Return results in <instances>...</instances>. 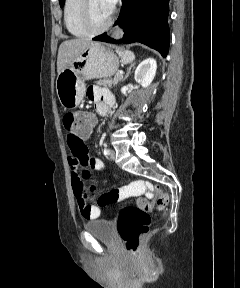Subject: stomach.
<instances>
[{
    "label": "stomach",
    "instance_id": "obj_1",
    "mask_svg": "<svg viewBox=\"0 0 240 288\" xmlns=\"http://www.w3.org/2000/svg\"><path fill=\"white\" fill-rule=\"evenodd\" d=\"M119 67L116 54L99 42L91 43L56 79V92L65 109L77 107L86 94L85 80L113 76Z\"/></svg>",
    "mask_w": 240,
    "mask_h": 288
}]
</instances>
